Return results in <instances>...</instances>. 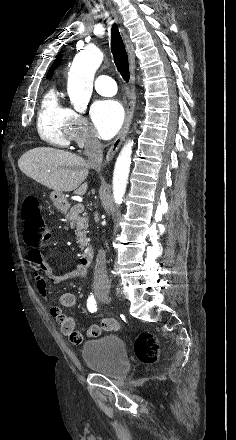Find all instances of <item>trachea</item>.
I'll return each mask as SVG.
<instances>
[{
	"label": "trachea",
	"mask_w": 236,
	"mask_h": 440,
	"mask_svg": "<svg viewBox=\"0 0 236 440\" xmlns=\"http://www.w3.org/2000/svg\"><path fill=\"white\" fill-rule=\"evenodd\" d=\"M111 51L114 57V63L122 78L128 82L130 78L129 62L123 39L115 24L111 29Z\"/></svg>",
	"instance_id": "obj_1"
}]
</instances>
